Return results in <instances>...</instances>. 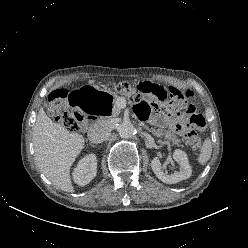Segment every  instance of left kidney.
Instances as JSON below:
<instances>
[{
  "label": "left kidney",
  "instance_id": "1",
  "mask_svg": "<svg viewBox=\"0 0 248 248\" xmlns=\"http://www.w3.org/2000/svg\"><path fill=\"white\" fill-rule=\"evenodd\" d=\"M161 157L162 155L153 158V160L151 161V167L155 175L162 182L167 184H175L182 180L188 179L191 176L192 174L191 166L189 164L187 154L184 151L180 149L174 151L173 159L180 165V171L175 172L174 174L171 175H168L163 171L160 162Z\"/></svg>",
  "mask_w": 248,
  "mask_h": 248
}]
</instances>
